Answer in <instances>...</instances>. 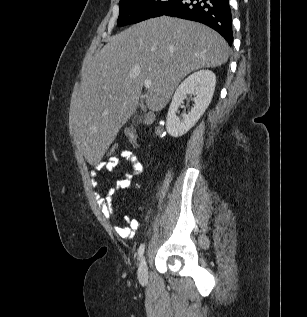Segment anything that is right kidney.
Returning a JSON list of instances; mask_svg holds the SVG:
<instances>
[{
    "label": "right kidney",
    "mask_w": 307,
    "mask_h": 317,
    "mask_svg": "<svg viewBox=\"0 0 307 317\" xmlns=\"http://www.w3.org/2000/svg\"><path fill=\"white\" fill-rule=\"evenodd\" d=\"M216 76L210 70H200L188 76L177 88L170 104L166 130L172 137H180L187 133L208 108L213 97ZM194 95V107L180 120L176 113L187 95Z\"/></svg>",
    "instance_id": "right-kidney-1"
}]
</instances>
